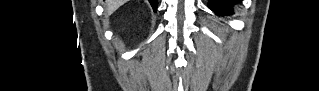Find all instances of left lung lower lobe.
<instances>
[{
  "mask_svg": "<svg viewBox=\"0 0 319 91\" xmlns=\"http://www.w3.org/2000/svg\"><path fill=\"white\" fill-rule=\"evenodd\" d=\"M239 2L240 0H209L208 7L218 15H231L232 6Z\"/></svg>",
  "mask_w": 319,
  "mask_h": 91,
  "instance_id": "0a47b994",
  "label": "left lung lower lobe"
}]
</instances>
